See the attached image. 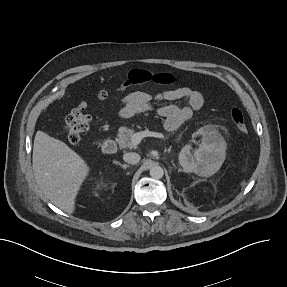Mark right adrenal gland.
<instances>
[{
  "label": "right adrenal gland",
  "instance_id": "2a0ac1e0",
  "mask_svg": "<svg viewBox=\"0 0 287 287\" xmlns=\"http://www.w3.org/2000/svg\"><path fill=\"white\" fill-rule=\"evenodd\" d=\"M118 165H120L122 168H124V169H126V168H128L129 167V165H127V164H121V163H119V162H116Z\"/></svg>",
  "mask_w": 287,
  "mask_h": 287
}]
</instances>
